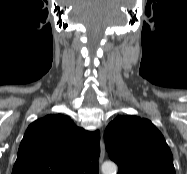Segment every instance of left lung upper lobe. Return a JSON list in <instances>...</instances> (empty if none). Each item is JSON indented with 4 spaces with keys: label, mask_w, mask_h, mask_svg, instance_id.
Instances as JSON below:
<instances>
[{
    "label": "left lung upper lobe",
    "mask_w": 187,
    "mask_h": 174,
    "mask_svg": "<svg viewBox=\"0 0 187 174\" xmlns=\"http://www.w3.org/2000/svg\"><path fill=\"white\" fill-rule=\"evenodd\" d=\"M104 139L118 174H175L170 148L147 119L117 116L107 126Z\"/></svg>",
    "instance_id": "left-lung-upper-lobe-1"
}]
</instances>
